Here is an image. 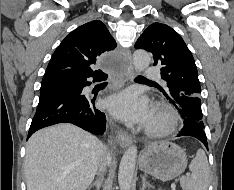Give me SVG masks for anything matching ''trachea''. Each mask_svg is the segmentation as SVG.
Segmentation results:
<instances>
[{
	"instance_id": "obj_1",
	"label": "trachea",
	"mask_w": 234,
	"mask_h": 190,
	"mask_svg": "<svg viewBox=\"0 0 234 190\" xmlns=\"http://www.w3.org/2000/svg\"><path fill=\"white\" fill-rule=\"evenodd\" d=\"M136 79H139V80H148L147 78H145L143 76H137Z\"/></svg>"
}]
</instances>
